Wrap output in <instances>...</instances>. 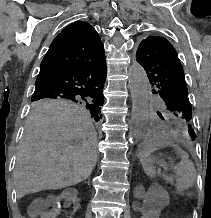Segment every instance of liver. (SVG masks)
<instances>
[{"instance_id":"6515ba94","label":"liver","mask_w":211,"mask_h":218,"mask_svg":"<svg viewBox=\"0 0 211 218\" xmlns=\"http://www.w3.org/2000/svg\"><path fill=\"white\" fill-rule=\"evenodd\" d=\"M76 138L80 142H73ZM96 146V130L82 110L36 108L18 146L14 172L18 198L87 180L96 166Z\"/></svg>"}]
</instances>
